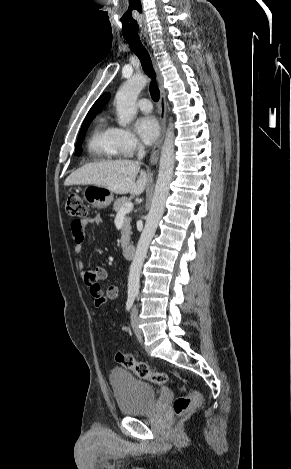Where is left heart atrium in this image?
Here are the masks:
<instances>
[{"mask_svg": "<svg viewBox=\"0 0 291 469\" xmlns=\"http://www.w3.org/2000/svg\"><path fill=\"white\" fill-rule=\"evenodd\" d=\"M136 130L146 144H151L159 135V124L155 117L144 116L137 120Z\"/></svg>", "mask_w": 291, "mask_h": 469, "instance_id": "left-heart-atrium-1", "label": "left heart atrium"}]
</instances>
